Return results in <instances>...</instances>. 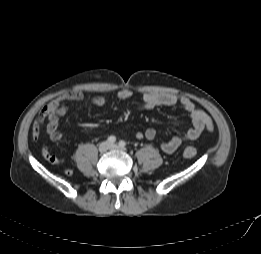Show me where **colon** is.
Segmentation results:
<instances>
[{"mask_svg": "<svg viewBox=\"0 0 261 254\" xmlns=\"http://www.w3.org/2000/svg\"><path fill=\"white\" fill-rule=\"evenodd\" d=\"M196 153H197V150L194 146H187L183 151V155L187 159L193 158L196 155ZM65 174L71 175L72 171L70 169H65Z\"/></svg>", "mask_w": 261, "mask_h": 254, "instance_id": "obj_1", "label": "colon"}]
</instances>
